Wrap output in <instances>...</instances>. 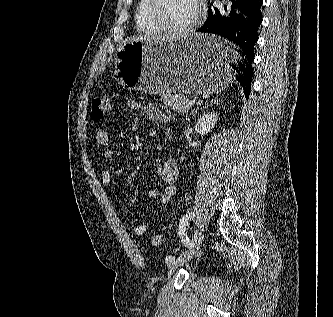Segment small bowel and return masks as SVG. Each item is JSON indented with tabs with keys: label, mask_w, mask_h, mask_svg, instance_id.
<instances>
[{
	"label": "small bowel",
	"mask_w": 333,
	"mask_h": 317,
	"mask_svg": "<svg viewBox=\"0 0 333 317\" xmlns=\"http://www.w3.org/2000/svg\"><path fill=\"white\" fill-rule=\"evenodd\" d=\"M127 107L131 111L141 112L143 116L150 121L154 122H167V115L155 106L143 105L139 101L135 99H130L127 101ZM95 139L98 145L104 147L103 157L111 158L115 155V151L110 147V136L105 128H100L97 130ZM157 175L162 180L164 186L162 191L158 189H152L149 191V197L153 199H157L160 204H168L174 195L177 192L176 180L178 177V167L177 163L174 159L168 158L166 159L158 168ZM112 170L105 169L102 172V183L105 187H111L112 183ZM148 229L147 223H141L136 226H133L131 231L135 235H143Z\"/></svg>",
	"instance_id": "1"
}]
</instances>
